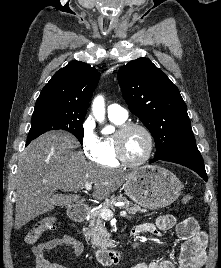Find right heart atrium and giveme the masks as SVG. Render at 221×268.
<instances>
[{
	"label": "right heart atrium",
	"instance_id": "obj_1",
	"mask_svg": "<svg viewBox=\"0 0 221 268\" xmlns=\"http://www.w3.org/2000/svg\"><path fill=\"white\" fill-rule=\"evenodd\" d=\"M100 138L95 129L93 118L87 117L81 125V147L87 159L94 161L99 150Z\"/></svg>",
	"mask_w": 221,
	"mask_h": 268
}]
</instances>
